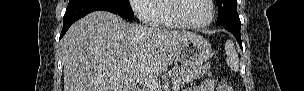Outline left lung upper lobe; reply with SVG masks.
<instances>
[{
  "mask_svg": "<svg viewBox=\"0 0 304 91\" xmlns=\"http://www.w3.org/2000/svg\"><path fill=\"white\" fill-rule=\"evenodd\" d=\"M216 3L218 5L217 25L240 22L237 14V0H216Z\"/></svg>",
  "mask_w": 304,
  "mask_h": 91,
  "instance_id": "left-lung-upper-lobe-1",
  "label": "left lung upper lobe"
}]
</instances>
